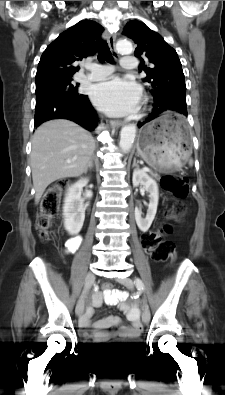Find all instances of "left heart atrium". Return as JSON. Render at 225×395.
Instances as JSON below:
<instances>
[{
    "label": "left heart atrium",
    "mask_w": 225,
    "mask_h": 395,
    "mask_svg": "<svg viewBox=\"0 0 225 395\" xmlns=\"http://www.w3.org/2000/svg\"><path fill=\"white\" fill-rule=\"evenodd\" d=\"M93 103L109 115H125L134 112L141 99L137 84L127 79L113 77L94 86Z\"/></svg>",
    "instance_id": "left-heart-atrium-1"
}]
</instances>
